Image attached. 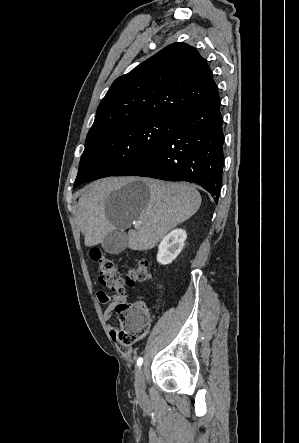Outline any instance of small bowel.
Here are the masks:
<instances>
[{"mask_svg": "<svg viewBox=\"0 0 299 443\" xmlns=\"http://www.w3.org/2000/svg\"><path fill=\"white\" fill-rule=\"evenodd\" d=\"M128 294H122V295H109L104 291H98L97 292V299L100 303H103L106 305V309L104 311V318L105 320L109 321L114 313L115 308L118 304L126 302L128 298ZM109 334L113 341L117 340V328L114 325L109 324Z\"/></svg>", "mask_w": 299, "mask_h": 443, "instance_id": "obj_1", "label": "small bowel"}]
</instances>
